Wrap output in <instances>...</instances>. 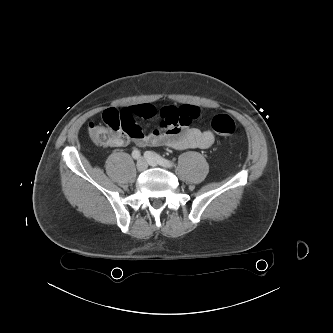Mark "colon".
<instances>
[{"label": "colon", "instance_id": "1", "mask_svg": "<svg viewBox=\"0 0 333 333\" xmlns=\"http://www.w3.org/2000/svg\"><path fill=\"white\" fill-rule=\"evenodd\" d=\"M102 122L88 127L90 138L101 146H111L119 132L132 134L137 130L135 117L128 110L107 109L102 113ZM211 128L219 135L231 136L236 131V124L229 115L218 114L212 118Z\"/></svg>", "mask_w": 333, "mask_h": 333}]
</instances>
